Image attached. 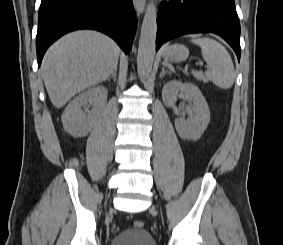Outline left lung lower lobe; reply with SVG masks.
Here are the masks:
<instances>
[{
    "label": "left lung lower lobe",
    "mask_w": 283,
    "mask_h": 245,
    "mask_svg": "<svg viewBox=\"0 0 283 245\" xmlns=\"http://www.w3.org/2000/svg\"><path fill=\"white\" fill-rule=\"evenodd\" d=\"M156 50L175 37L212 32L235 51L240 60V22L234 0H168L159 7Z\"/></svg>",
    "instance_id": "obj_1"
}]
</instances>
